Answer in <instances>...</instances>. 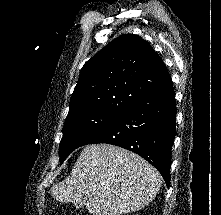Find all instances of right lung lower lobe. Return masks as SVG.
<instances>
[{
    "mask_svg": "<svg viewBox=\"0 0 221 215\" xmlns=\"http://www.w3.org/2000/svg\"><path fill=\"white\" fill-rule=\"evenodd\" d=\"M176 134L172 81L122 113L87 144L107 143L137 153L159 170L170 185L171 149Z\"/></svg>",
    "mask_w": 221,
    "mask_h": 215,
    "instance_id": "obj_1",
    "label": "right lung lower lobe"
}]
</instances>
